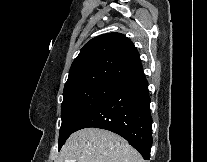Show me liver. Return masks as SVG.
Listing matches in <instances>:
<instances>
[{
  "instance_id": "obj_1",
  "label": "liver",
  "mask_w": 207,
  "mask_h": 162,
  "mask_svg": "<svg viewBox=\"0 0 207 162\" xmlns=\"http://www.w3.org/2000/svg\"><path fill=\"white\" fill-rule=\"evenodd\" d=\"M145 162L122 137L104 129L85 128L74 132L55 162Z\"/></svg>"
}]
</instances>
